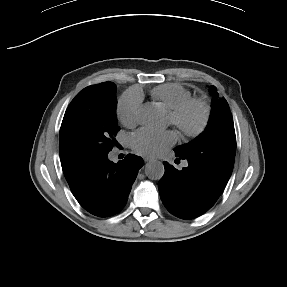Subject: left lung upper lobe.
Wrapping results in <instances>:
<instances>
[{"instance_id":"1","label":"left lung upper lobe","mask_w":287,"mask_h":287,"mask_svg":"<svg viewBox=\"0 0 287 287\" xmlns=\"http://www.w3.org/2000/svg\"><path fill=\"white\" fill-rule=\"evenodd\" d=\"M209 89L213 95L212 113L205 131L192 142L176 147L174 151L209 170L212 180L226 185L235 160L234 123L225 98L219 97L215 86Z\"/></svg>"}]
</instances>
